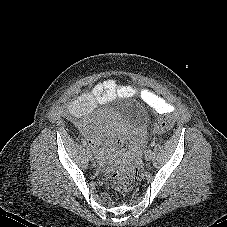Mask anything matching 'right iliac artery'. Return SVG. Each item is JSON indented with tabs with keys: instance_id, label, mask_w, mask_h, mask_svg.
I'll return each instance as SVG.
<instances>
[{
	"instance_id": "1",
	"label": "right iliac artery",
	"mask_w": 227,
	"mask_h": 227,
	"mask_svg": "<svg viewBox=\"0 0 227 227\" xmlns=\"http://www.w3.org/2000/svg\"><path fill=\"white\" fill-rule=\"evenodd\" d=\"M82 144H83L84 146H86V145H87L86 141H83V142H82Z\"/></svg>"
}]
</instances>
